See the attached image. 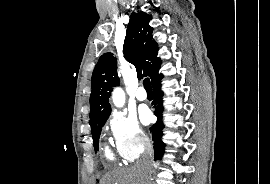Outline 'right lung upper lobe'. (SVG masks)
Listing matches in <instances>:
<instances>
[{
  "instance_id": "obj_1",
  "label": "right lung upper lobe",
  "mask_w": 270,
  "mask_h": 184,
  "mask_svg": "<svg viewBox=\"0 0 270 184\" xmlns=\"http://www.w3.org/2000/svg\"><path fill=\"white\" fill-rule=\"evenodd\" d=\"M152 16L145 12H133L127 26L123 53L125 59L137 70V76H149L152 80L158 75L160 58H157L158 46L152 40L153 28L149 25ZM117 61L112 53H104L98 60L92 74L90 94V126L106 121L111 113L109 96L113 87L119 85Z\"/></svg>"
}]
</instances>
